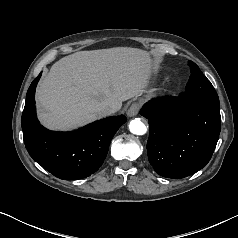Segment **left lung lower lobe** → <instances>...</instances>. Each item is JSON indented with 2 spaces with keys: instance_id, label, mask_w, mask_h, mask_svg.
<instances>
[{
  "instance_id": "0a47b994",
  "label": "left lung lower lobe",
  "mask_w": 238,
  "mask_h": 238,
  "mask_svg": "<svg viewBox=\"0 0 238 238\" xmlns=\"http://www.w3.org/2000/svg\"><path fill=\"white\" fill-rule=\"evenodd\" d=\"M140 113L149 120L147 153L159 175L180 179L206 166L221 129L219 98L162 97Z\"/></svg>"
}]
</instances>
